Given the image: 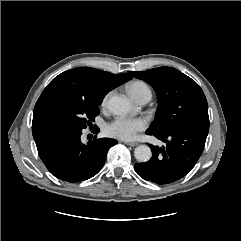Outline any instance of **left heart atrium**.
<instances>
[{"mask_svg": "<svg viewBox=\"0 0 241 241\" xmlns=\"http://www.w3.org/2000/svg\"><path fill=\"white\" fill-rule=\"evenodd\" d=\"M147 121L144 118H130L118 116L106 124L105 133L121 140L134 139L138 132L144 130Z\"/></svg>", "mask_w": 241, "mask_h": 241, "instance_id": "left-heart-atrium-1", "label": "left heart atrium"}]
</instances>
